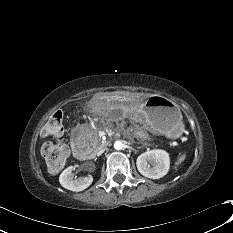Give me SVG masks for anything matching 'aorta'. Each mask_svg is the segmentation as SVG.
Returning a JSON list of instances; mask_svg holds the SVG:
<instances>
[{
	"label": "aorta",
	"instance_id": "1",
	"mask_svg": "<svg viewBox=\"0 0 233 233\" xmlns=\"http://www.w3.org/2000/svg\"><path fill=\"white\" fill-rule=\"evenodd\" d=\"M123 147H124V144L122 143V141H116V142L114 143V148H115L116 150H122Z\"/></svg>",
	"mask_w": 233,
	"mask_h": 233
}]
</instances>
